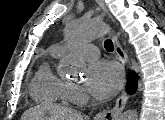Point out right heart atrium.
<instances>
[{
    "label": "right heart atrium",
    "instance_id": "1",
    "mask_svg": "<svg viewBox=\"0 0 165 120\" xmlns=\"http://www.w3.org/2000/svg\"><path fill=\"white\" fill-rule=\"evenodd\" d=\"M71 99L75 102H82L86 99V93L82 87H71Z\"/></svg>",
    "mask_w": 165,
    "mask_h": 120
}]
</instances>
